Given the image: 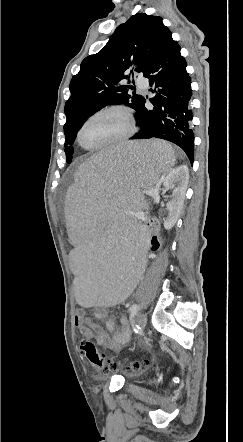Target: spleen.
<instances>
[{"instance_id":"1","label":"spleen","mask_w":243,"mask_h":442,"mask_svg":"<svg viewBox=\"0 0 243 442\" xmlns=\"http://www.w3.org/2000/svg\"><path fill=\"white\" fill-rule=\"evenodd\" d=\"M175 161L169 143L153 140L100 147V153L79 163L65 200L75 248L69 267L76 274L73 296L79 307H118L138 291L144 253H151L139 228L148 200L139 192L166 178Z\"/></svg>"}]
</instances>
